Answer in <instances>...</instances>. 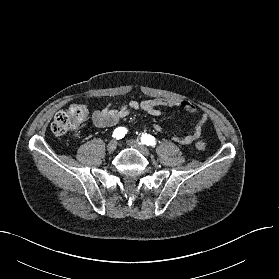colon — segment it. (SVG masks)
<instances>
[{"label": "colon", "instance_id": "colon-1", "mask_svg": "<svg viewBox=\"0 0 279 279\" xmlns=\"http://www.w3.org/2000/svg\"><path fill=\"white\" fill-rule=\"evenodd\" d=\"M88 111L85 105L75 103L67 109L58 112L51 124V130L55 135L61 136L77 130L87 119ZM195 147L199 151L207 148V142L203 138H199Z\"/></svg>", "mask_w": 279, "mask_h": 279}]
</instances>
